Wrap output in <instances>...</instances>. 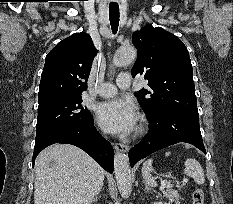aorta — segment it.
<instances>
[{"label": "aorta", "mask_w": 233, "mask_h": 204, "mask_svg": "<svg viewBox=\"0 0 233 204\" xmlns=\"http://www.w3.org/2000/svg\"><path fill=\"white\" fill-rule=\"evenodd\" d=\"M136 56L137 52L133 47H120L113 57V64L117 67L129 65L135 61ZM114 170L118 189L122 197L127 198L131 193L132 183L129 160L125 154H115Z\"/></svg>", "instance_id": "aorta-1"}]
</instances>
